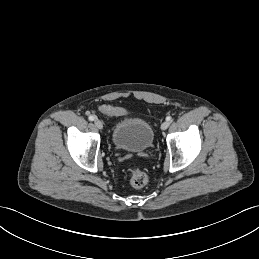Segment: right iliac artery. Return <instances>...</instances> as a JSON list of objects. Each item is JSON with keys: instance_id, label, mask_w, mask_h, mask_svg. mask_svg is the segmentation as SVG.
<instances>
[{"instance_id": "obj_1", "label": "right iliac artery", "mask_w": 259, "mask_h": 259, "mask_svg": "<svg viewBox=\"0 0 259 259\" xmlns=\"http://www.w3.org/2000/svg\"><path fill=\"white\" fill-rule=\"evenodd\" d=\"M95 116H93V115H90L89 117H88V119L90 120V121H93V120H95Z\"/></svg>"}]
</instances>
